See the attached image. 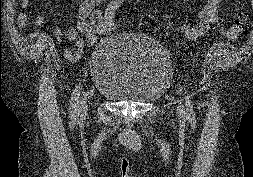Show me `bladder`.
<instances>
[{"instance_id": "bladder-1", "label": "bladder", "mask_w": 253, "mask_h": 177, "mask_svg": "<svg viewBox=\"0 0 253 177\" xmlns=\"http://www.w3.org/2000/svg\"><path fill=\"white\" fill-rule=\"evenodd\" d=\"M90 72L96 93L118 103H149L167 90L172 64L156 40L113 33L94 51Z\"/></svg>"}]
</instances>
